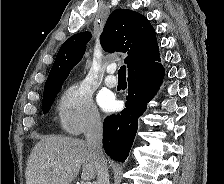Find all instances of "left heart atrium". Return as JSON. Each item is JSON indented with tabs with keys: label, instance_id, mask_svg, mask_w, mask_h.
I'll return each instance as SVG.
<instances>
[{
	"label": "left heart atrium",
	"instance_id": "left-heart-atrium-1",
	"mask_svg": "<svg viewBox=\"0 0 224 184\" xmlns=\"http://www.w3.org/2000/svg\"><path fill=\"white\" fill-rule=\"evenodd\" d=\"M100 104L106 111H112L116 107V101L113 97H104Z\"/></svg>",
	"mask_w": 224,
	"mask_h": 184
}]
</instances>
